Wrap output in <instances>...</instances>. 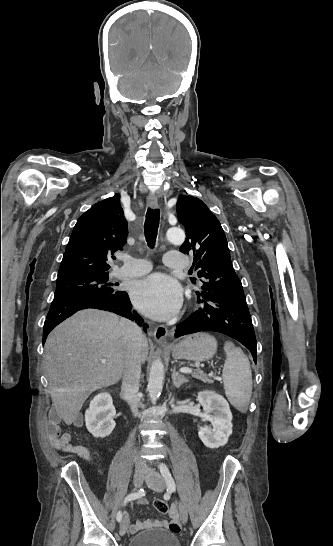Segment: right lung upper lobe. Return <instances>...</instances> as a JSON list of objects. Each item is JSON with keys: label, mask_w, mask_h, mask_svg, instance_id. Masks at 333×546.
<instances>
[{"label": "right lung upper lobe", "mask_w": 333, "mask_h": 546, "mask_svg": "<svg viewBox=\"0 0 333 546\" xmlns=\"http://www.w3.org/2000/svg\"><path fill=\"white\" fill-rule=\"evenodd\" d=\"M127 234L128 225L118 196L94 204L73 229L57 279L108 273L111 254L122 250Z\"/></svg>", "instance_id": "1"}]
</instances>
